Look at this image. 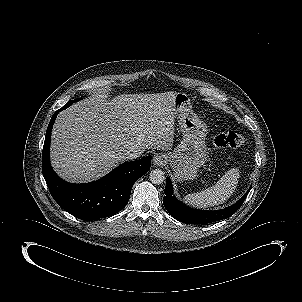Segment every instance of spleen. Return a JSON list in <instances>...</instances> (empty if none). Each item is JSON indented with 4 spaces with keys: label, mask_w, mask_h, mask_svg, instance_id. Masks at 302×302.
I'll use <instances>...</instances> for the list:
<instances>
[{
    "label": "spleen",
    "mask_w": 302,
    "mask_h": 302,
    "mask_svg": "<svg viewBox=\"0 0 302 302\" xmlns=\"http://www.w3.org/2000/svg\"><path fill=\"white\" fill-rule=\"evenodd\" d=\"M239 176V170L232 168L228 170L215 185L206 190L186 195L184 201L191 206L203 209L222 204L227 201L235 191Z\"/></svg>",
    "instance_id": "obj_1"
}]
</instances>
